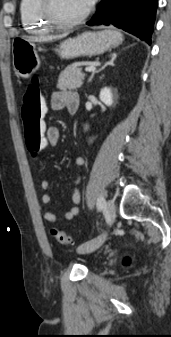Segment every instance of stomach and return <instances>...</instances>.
<instances>
[{
    "mask_svg": "<svg viewBox=\"0 0 171 337\" xmlns=\"http://www.w3.org/2000/svg\"><path fill=\"white\" fill-rule=\"evenodd\" d=\"M122 34L116 30L105 29L98 32H85L76 38L61 43L57 50L62 58L93 56L118 47ZM13 67L22 78H29L40 67L37 45L24 38H15L12 43Z\"/></svg>",
    "mask_w": 171,
    "mask_h": 337,
    "instance_id": "stomach-1",
    "label": "stomach"
}]
</instances>
